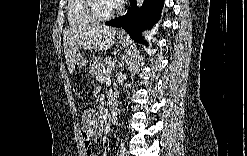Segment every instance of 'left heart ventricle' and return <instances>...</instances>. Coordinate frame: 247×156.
<instances>
[{
    "instance_id": "left-heart-ventricle-1",
    "label": "left heart ventricle",
    "mask_w": 247,
    "mask_h": 156,
    "mask_svg": "<svg viewBox=\"0 0 247 156\" xmlns=\"http://www.w3.org/2000/svg\"><path fill=\"white\" fill-rule=\"evenodd\" d=\"M116 5L114 1H99L97 4L98 13L108 15L114 11Z\"/></svg>"
}]
</instances>
